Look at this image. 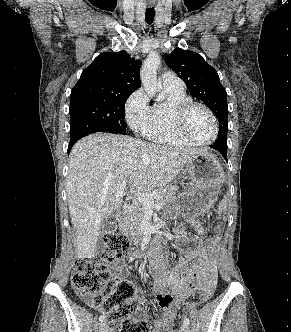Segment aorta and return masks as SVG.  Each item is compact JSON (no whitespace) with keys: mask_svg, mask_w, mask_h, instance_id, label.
Instances as JSON below:
<instances>
[{"mask_svg":"<svg viewBox=\"0 0 291 332\" xmlns=\"http://www.w3.org/2000/svg\"><path fill=\"white\" fill-rule=\"evenodd\" d=\"M160 62L159 55L151 52L142 64L141 83L149 96H154L161 89V85L157 81V69ZM158 99L162 100L163 96L160 95Z\"/></svg>","mask_w":291,"mask_h":332,"instance_id":"aorta-1","label":"aorta"}]
</instances>
